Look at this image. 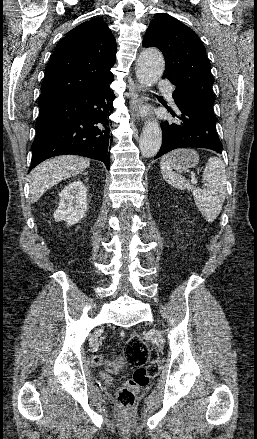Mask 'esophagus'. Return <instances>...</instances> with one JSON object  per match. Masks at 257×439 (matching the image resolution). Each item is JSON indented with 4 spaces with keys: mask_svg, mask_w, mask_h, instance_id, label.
<instances>
[{
    "mask_svg": "<svg viewBox=\"0 0 257 439\" xmlns=\"http://www.w3.org/2000/svg\"><path fill=\"white\" fill-rule=\"evenodd\" d=\"M143 101H144V88L142 85L137 83L135 86L133 97L130 101V111L132 112V115L136 118L139 117V112Z\"/></svg>",
    "mask_w": 257,
    "mask_h": 439,
    "instance_id": "esophagus-1",
    "label": "esophagus"
}]
</instances>
